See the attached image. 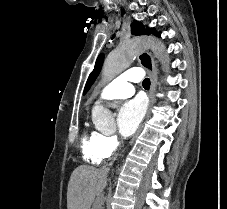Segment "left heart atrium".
<instances>
[{"label": "left heart atrium", "instance_id": "1", "mask_svg": "<svg viewBox=\"0 0 227 209\" xmlns=\"http://www.w3.org/2000/svg\"><path fill=\"white\" fill-rule=\"evenodd\" d=\"M145 112V105L140 99L123 102L119 108V132L129 137L134 134Z\"/></svg>", "mask_w": 227, "mask_h": 209}]
</instances>
